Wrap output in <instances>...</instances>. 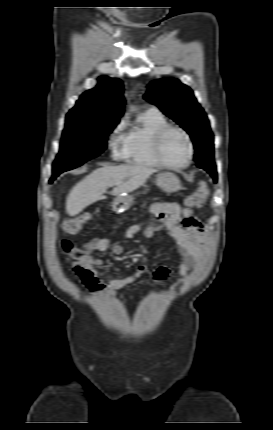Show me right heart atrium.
Instances as JSON below:
<instances>
[{
    "label": "right heart atrium",
    "instance_id": "1",
    "mask_svg": "<svg viewBox=\"0 0 273 430\" xmlns=\"http://www.w3.org/2000/svg\"><path fill=\"white\" fill-rule=\"evenodd\" d=\"M124 128V122H119L112 130L108 140V148L112 157L121 159L124 156L125 151V136L122 134Z\"/></svg>",
    "mask_w": 273,
    "mask_h": 430
}]
</instances>
